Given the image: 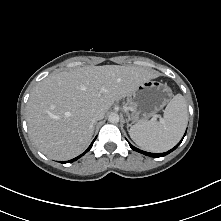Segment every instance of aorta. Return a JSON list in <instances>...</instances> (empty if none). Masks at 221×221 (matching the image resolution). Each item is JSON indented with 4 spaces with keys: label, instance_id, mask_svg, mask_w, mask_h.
Listing matches in <instances>:
<instances>
[{
    "label": "aorta",
    "instance_id": "aorta-1",
    "mask_svg": "<svg viewBox=\"0 0 221 221\" xmlns=\"http://www.w3.org/2000/svg\"><path fill=\"white\" fill-rule=\"evenodd\" d=\"M120 120L119 115L117 113H111L108 117V121L112 124L118 123Z\"/></svg>",
    "mask_w": 221,
    "mask_h": 221
}]
</instances>
